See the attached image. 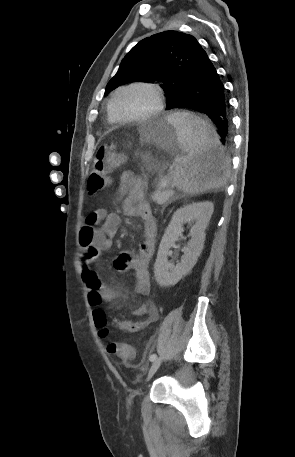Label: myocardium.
Segmentation results:
<instances>
[{"instance_id":"f54148a6","label":"myocardium","mask_w":295,"mask_h":457,"mask_svg":"<svg viewBox=\"0 0 295 457\" xmlns=\"http://www.w3.org/2000/svg\"><path fill=\"white\" fill-rule=\"evenodd\" d=\"M136 87H141V88H146L149 89L155 98V105L154 107L148 111L147 113L140 115V116H135V117H120L118 116L115 111H114V102L118 94L124 90L130 89V88H136ZM164 107V95L162 92V89L154 83H149V82H133L124 86L119 87L116 89V91L113 93L109 104H108V112L110 117L116 121V122H121V123H131V122H142L149 120L156 115H158Z\"/></svg>"}]
</instances>
